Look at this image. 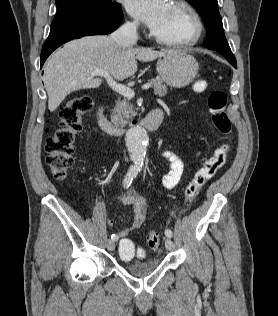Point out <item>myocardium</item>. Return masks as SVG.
I'll return each mask as SVG.
<instances>
[{
  "instance_id": "obj_1",
  "label": "myocardium",
  "mask_w": 278,
  "mask_h": 316,
  "mask_svg": "<svg viewBox=\"0 0 278 316\" xmlns=\"http://www.w3.org/2000/svg\"><path fill=\"white\" fill-rule=\"evenodd\" d=\"M171 4L185 11L192 19L193 32L191 36L182 40H169L151 32V38L158 44L172 48H188L194 46L199 41L203 33V21L200 14L189 2L185 0H173Z\"/></svg>"
}]
</instances>
